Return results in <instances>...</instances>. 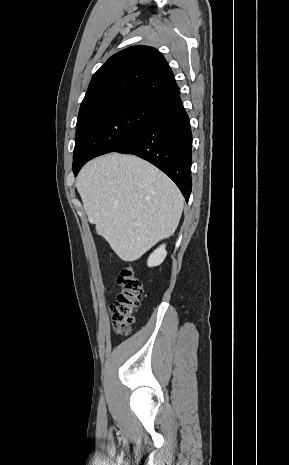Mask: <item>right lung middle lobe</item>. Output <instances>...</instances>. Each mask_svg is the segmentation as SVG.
<instances>
[{
  "label": "right lung middle lobe",
  "mask_w": 289,
  "mask_h": 465,
  "mask_svg": "<svg viewBox=\"0 0 289 465\" xmlns=\"http://www.w3.org/2000/svg\"><path fill=\"white\" fill-rule=\"evenodd\" d=\"M159 108L160 104L149 101H122L78 122L73 166L85 159L115 151L145 126Z\"/></svg>",
  "instance_id": "1"
}]
</instances>
